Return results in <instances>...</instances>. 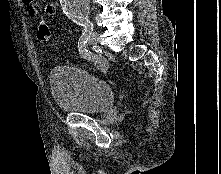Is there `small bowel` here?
I'll return each instance as SVG.
<instances>
[{
    "label": "small bowel",
    "instance_id": "c3829d8e",
    "mask_svg": "<svg viewBox=\"0 0 221 174\" xmlns=\"http://www.w3.org/2000/svg\"><path fill=\"white\" fill-rule=\"evenodd\" d=\"M27 8V13L32 18H37L40 16V10L35 4L34 0H23ZM44 11L47 15L52 16L56 13L57 7L54 3H47L44 7Z\"/></svg>",
    "mask_w": 221,
    "mask_h": 174
}]
</instances>
